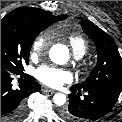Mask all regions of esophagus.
<instances>
[{
  "mask_svg": "<svg viewBox=\"0 0 122 122\" xmlns=\"http://www.w3.org/2000/svg\"><path fill=\"white\" fill-rule=\"evenodd\" d=\"M42 91L47 92V93H51V94L56 92L55 90L47 88V87H42Z\"/></svg>",
  "mask_w": 122,
  "mask_h": 122,
  "instance_id": "obj_1",
  "label": "esophagus"
}]
</instances>
